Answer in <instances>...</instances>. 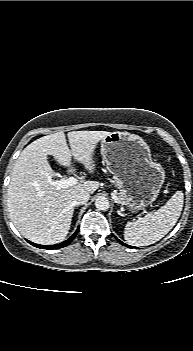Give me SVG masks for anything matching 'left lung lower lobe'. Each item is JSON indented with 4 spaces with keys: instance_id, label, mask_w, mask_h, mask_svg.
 <instances>
[{
    "instance_id": "1",
    "label": "left lung lower lobe",
    "mask_w": 193,
    "mask_h": 351,
    "mask_svg": "<svg viewBox=\"0 0 193 351\" xmlns=\"http://www.w3.org/2000/svg\"><path fill=\"white\" fill-rule=\"evenodd\" d=\"M118 240V239H117ZM122 245L126 246V247H129V248H133L132 246H129V245H126L124 244L123 242H121L120 240H118Z\"/></svg>"
}]
</instances>
